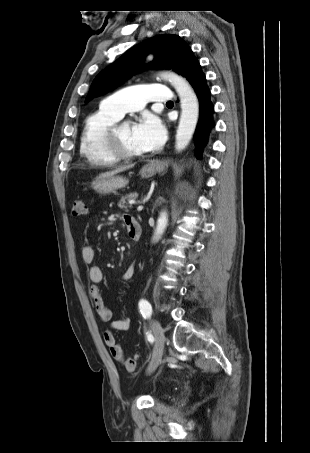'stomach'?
I'll list each match as a JSON object with an SVG mask.
<instances>
[{
	"instance_id": "1",
	"label": "stomach",
	"mask_w": 310,
	"mask_h": 453,
	"mask_svg": "<svg viewBox=\"0 0 310 453\" xmlns=\"http://www.w3.org/2000/svg\"><path fill=\"white\" fill-rule=\"evenodd\" d=\"M157 169L151 164H146L140 170L143 178H149L155 175ZM128 184V180L122 176H110L107 178L98 179L93 182L92 187L95 191L101 194H108L118 189L124 188Z\"/></svg>"
}]
</instances>
